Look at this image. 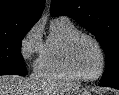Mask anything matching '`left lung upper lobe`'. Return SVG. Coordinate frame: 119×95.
I'll return each instance as SVG.
<instances>
[{
    "mask_svg": "<svg viewBox=\"0 0 119 95\" xmlns=\"http://www.w3.org/2000/svg\"><path fill=\"white\" fill-rule=\"evenodd\" d=\"M51 15L71 17L96 37L106 54L100 85H119V0H52Z\"/></svg>",
    "mask_w": 119,
    "mask_h": 95,
    "instance_id": "obj_1",
    "label": "left lung upper lobe"
}]
</instances>
